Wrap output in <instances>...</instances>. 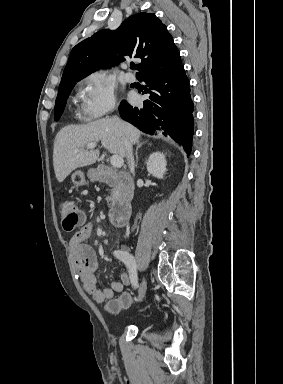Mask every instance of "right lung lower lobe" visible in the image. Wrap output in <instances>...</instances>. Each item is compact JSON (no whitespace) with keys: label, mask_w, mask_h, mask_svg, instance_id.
I'll return each mask as SVG.
<instances>
[{"label":"right lung lower lobe","mask_w":283,"mask_h":384,"mask_svg":"<svg viewBox=\"0 0 283 384\" xmlns=\"http://www.w3.org/2000/svg\"><path fill=\"white\" fill-rule=\"evenodd\" d=\"M141 81L148 87L144 93H150L149 99L143 102V108H133L126 101H122L119 106L121 118L145 133L170 136L190 154L194 106L184 66L180 64Z\"/></svg>","instance_id":"right-lung-lower-lobe-1"}]
</instances>
